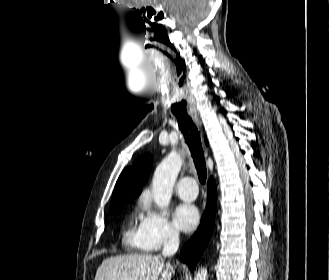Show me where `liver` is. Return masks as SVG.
Here are the masks:
<instances>
[{
    "label": "liver",
    "instance_id": "liver-1",
    "mask_svg": "<svg viewBox=\"0 0 329 280\" xmlns=\"http://www.w3.org/2000/svg\"><path fill=\"white\" fill-rule=\"evenodd\" d=\"M174 273L160 255L129 254L105 259L94 280H171Z\"/></svg>",
    "mask_w": 329,
    "mask_h": 280
}]
</instances>
